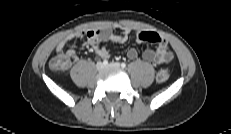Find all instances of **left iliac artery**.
<instances>
[{"instance_id": "1", "label": "left iliac artery", "mask_w": 231, "mask_h": 134, "mask_svg": "<svg viewBox=\"0 0 231 134\" xmlns=\"http://www.w3.org/2000/svg\"><path fill=\"white\" fill-rule=\"evenodd\" d=\"M121 67H122V68H125V67H126V64H125V63H121Z\"/></svg>"}]
</instances>
